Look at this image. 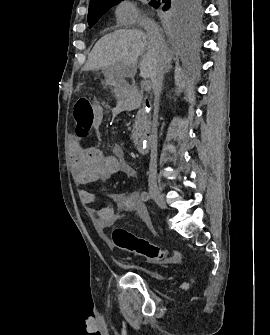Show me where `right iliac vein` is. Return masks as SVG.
Instances as JSON below:
<instances>
[{
	"label": "right iliac vein",
	"instance_id": "1",
	"mask_svg": "<svg viewBox=\"0 0 270 335\" xmlns=\"http://www.w3.org/2000/svg\"><path fill=\"white\" fill-rule=\"evenodd\" d=\"M149 191H150L151 197L156 202V204L161 209H165L166 208L165 199H164L163 195L161 194V192L159 191V189L156 186L151 185L150 188H149Z\"/></svg>",
	"mask_w": 270,
	"mask_h": 335
}]
</instances>
